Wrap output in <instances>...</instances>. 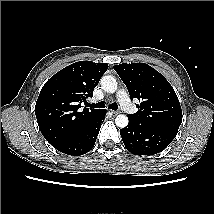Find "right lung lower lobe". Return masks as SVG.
<instances>
[{
    "label": "right lung lower lobe",
    "instance_id": "98d812e1",
    "mask_svg": "<svg viewBox=\"0 0 214 214\" xmlns=\"http://www.w3.org/2000/svg\"><path fill=\"white\" fill-rule=\"evenodd\" d=\"M105 114L106 111L101 110L94 119L87 123L69 141L56 149L62 153L74 156L83 155L89 152L95 144L101 124L105 119Z\"/></svg>",
    "mask_w": 214,
    "mask_h": 214
}]
</instances>
